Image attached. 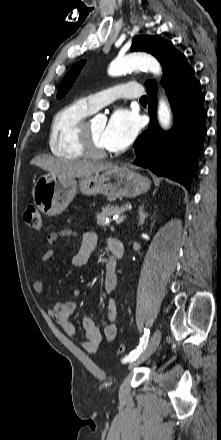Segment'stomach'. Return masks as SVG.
<instances>
[{
	"label": "stomach",
	"instance_id": "obj_1",
	"mask_svg": "<svg viewBox=\"0 0 221 440\" xmlns=\"http://www.w3.org/2000/svg\"><path fill=\"white\" fill-rule=\"evenodd\" d=\"M151 181L137 173L130 166H117L83 177L59 178L51 173L40 176L33 188V199L38 209L45 215L60 214L71 203L80 190L85 195L104 194L113 199L135 197L148 191Z\"/></svg>",
	"mask_w": 221,
	"mask_h": 440
}]
</instances>
